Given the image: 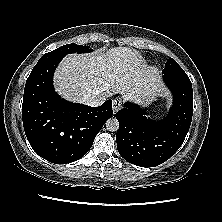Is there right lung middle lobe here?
I'll use <instances>...</instances> for the list:
<instances>
[{"mask_svg":"<svg viewBox=\"0 0 222 222\" xmlns=\"http://www.w3.org/2000/svg\"><path fill=\"white\" fill-rule=\"evenodd\" d=\"M93 50L89 46H82L77 44H67L59 47L58 49L44 54L40 60L49 59V58H64L65 55L70 53H86L92 52ZM39 60V61H40Z\"/></svg>","mask_w":222,"mask_h":222,"instance_id":"right-lung-middle-lobe-1","label":"right lung middle lobe"}]
</instances>
